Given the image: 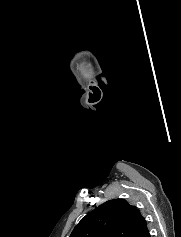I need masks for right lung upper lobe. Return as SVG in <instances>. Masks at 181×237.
Listing matches in <instances>:
<instances>
[{
    "label": "right lung upper lobe",
    "mask_w": 181,
    "mask_h": 237,
    "mask_svg": "<svg viewBox=\"0 0 181 237\" xmlns=\"http://www.w3.org/2000/svg\"><path fill=\"white\" fill-rule=\"evenodd\" d=\"M70 237H150L146 220L125 199L106 201L75 226Z\"/></svg>",
    "instance_id": "1"
}]
</instances>
